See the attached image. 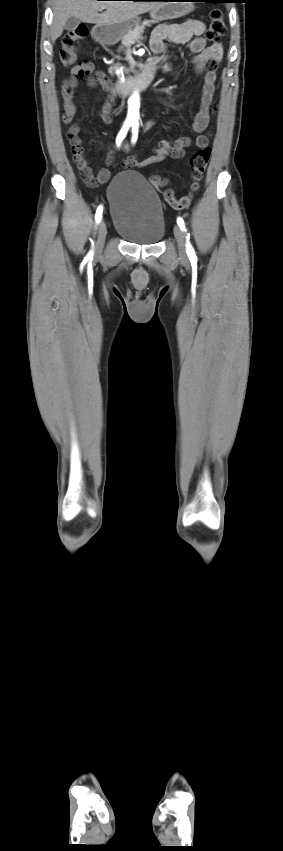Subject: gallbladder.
I'll return each mask as SVG.
<instances>
[{
  "mask_svg": "<svg viewBox=\"0 0 283 851\" xmlns=\"http://www.w3.org/2000/svg\"><path fill=\"white\" fill-rule=\"evenodd\" d=\"M80 22H81V21H80V19H79V18H76V17H70V18L66 21L65 26H64V29H65V30H68V31L74 30V29H75V28H76V27L80 24Z\"/></svg>",
  "mask_w": 283,
  "mask_h": 851,
  "instance_id": "gallbladder-1",
  "label": "gallbladder"
}]
</instances>
